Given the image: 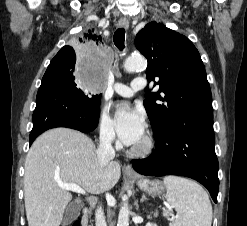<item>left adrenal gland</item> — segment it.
Instances as JSON below:
<instances>
[{
	"instance_id": "a2214340",
	"label": "left adrenal gland",
	"mask_w": 247,
	"mask_h": 226,
	"mask_svg": "<svg viewBox=\"0 0 247 226\" xmlns=\"http://www.w3.org/2000/svg\"><path fill=\"white\" fill-rule=\"evenodd\" d=\"M146 200H147V197H146L145 194H143L142 197H141V199H140V202L142 203V202H144ZM137 208H138V205H137Z\"/></svg>"
}]
</instances>
